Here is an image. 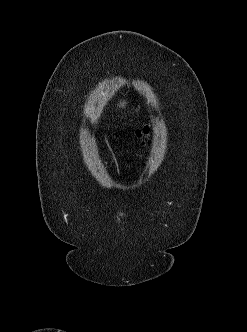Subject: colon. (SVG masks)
I'll return each mask as SVG.
<instances>
[{
	"label": "colon",
	"instance_id": "1",
	"mask_svg": "<svg viewBox=\"0 0 247 332\" xmlns=\"http://www.w3.org/2000/svg\"><path fill=\"white\" fill-rule=\"evenodd\" d=\"M148 132V128L145 127L143 130H139L138 134L141 135L142 133H147Z\"/></svg>",
	"mask_w": 247,
	"mask_h": 332
}]
</instances>
